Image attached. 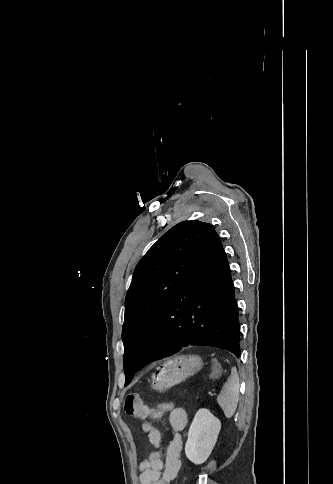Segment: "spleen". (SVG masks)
<instances>
[{
	"label": "spleen",
	"instance_id": "3e777b00",
	"mask_svg": "<svg viewBox=\"0 0 333 484\" xmlns=\"http://www.w3.org/2000/svg\"><path fill=\"white\" fill-rule=\"evenodd\" d=\"M239 398V377L236 368H233L231 375L223 386L217 397L218 405L224 412L226 418H231L237 408Z\"/></svg>",
	"mask_w": 333,
	"mask_h": 484
}]
</instances>
